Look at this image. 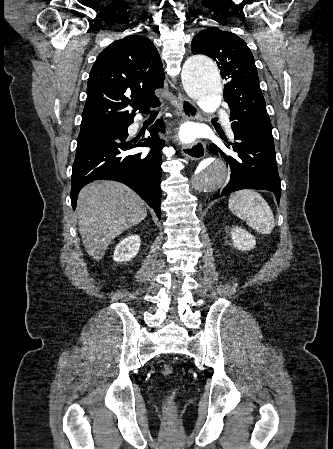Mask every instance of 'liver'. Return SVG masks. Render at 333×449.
Here are the masks:
<instances>
[{
    "label": "liver",
    "mask_w": 333,
    "mask_h": 449,
    "mask_svg": "<svg viewBox=\"0 0 333 449\" xmlns=\"http://www.w3.org/2000/svg\"><path fill=\"white\" fill-rule=\"evenodd\" d=\"M76 215L87 253L100 260L109 244L147 216L144 201L116 181H96L79 193Z\"/></svg>",
    "instance_id": "liver-1"
}]
</instances>
